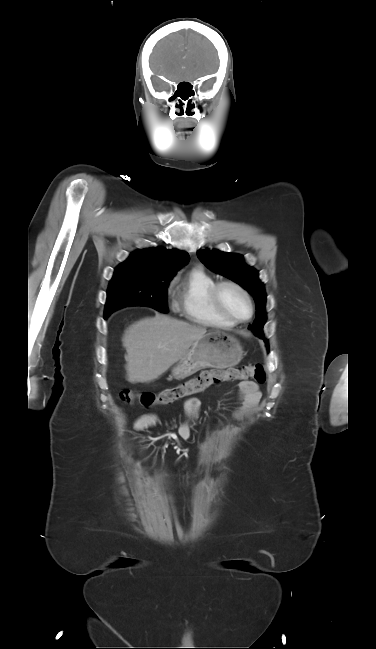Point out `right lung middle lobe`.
<instances>
[{
  "mask_svg": "<svg viewBox=\"0 0 376 649\" xmlns=\"http://www.w3.org/2000/svg\"><path fill=\"white\" fill-rule=\"evenodd\" d=\"M174 275L175 272L153 275L133 263H121L108 287L104 318L128 305L149 306L168 313L167 288Z\"/></svg>",
  "mask_w": 376,
  "mask_h": 649,
  "instance_id": "right-lung-middle-lobe-1",
  "label": "right lung middle lobe"
}]
</instances>
